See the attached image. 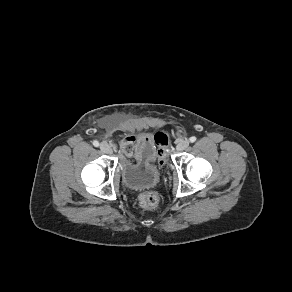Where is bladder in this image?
Masks as SVG:
<instances>
[{
  "label": "bladder",
  "mask_w": 292,
  "mask_h": 292,
  "mask_svg": "<svg viewBox=\"0 0 292 292\" xmlns=\"http://www.w3.org/2000/svg\"><path fill=\"white\" fill-rule=\"evenodd\" d=\"M122 180L130 189H142L153 186L159 176L157 167L153 163H148L143 167L123 166Z\"/></svg>",
  "instance_id": "1"
}]
</instances>
